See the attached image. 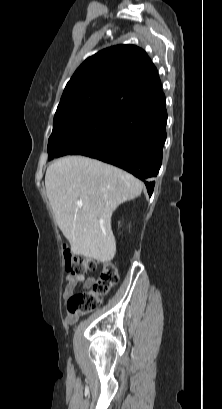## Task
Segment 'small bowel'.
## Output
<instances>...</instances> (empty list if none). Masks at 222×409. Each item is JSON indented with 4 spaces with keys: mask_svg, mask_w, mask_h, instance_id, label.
Returning <instances> with one entry per match:
<instances>
[{
    "mask_svg": "<svg viewBox=\"0 0 222 409\" xmlns=\"http://www.w3.org/2000/svg\"><path fill=\"white\" fill-rule=\"evenodd\" d=\"M94 283V278L92 276H84L82 274H69L65 278V287L63 290V297L65 299L70 298L79 284L82 285L83 289H89ZM78 320L77 315L68 314L65 321L68 325H73Z\"/></svg>",
    "mask_w": 222,
    "mask_h": 409,
    "instance_id": "c3829d8e",
    "label": "small bowel"
}]
</instances>
